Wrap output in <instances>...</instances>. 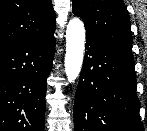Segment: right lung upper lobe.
<instances>
[{
  "label": "right lung upper lobe",
  "instance_id": "cb5924a9",
  "mask_svg": "<svg viewBox=\"0 0 147 131\" xmlns=\"http://www.w3.org/2000/svg\"><path fill=\"white\" fill-rule=\"evenodd\" d=\"M51 0H0V53L55 31Z\"/></svg>",
  "mask_w": 147,
  "mask_h": 131
}]
</instances>
